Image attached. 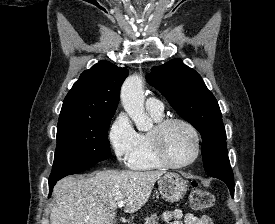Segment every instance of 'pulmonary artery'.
Wrapping results in <instances>:
<instances>
[{"mask_svg":"<svg viewBox=\"0 0 275 224\" xmlns=\"http://www.w3.org/2000/svg\"><path fill=\"white\" fill-rule=\"evenodd\" d=\"M146 109L151 112L161 113L163 112V104L159 99L149 97L146 100Z\"/></svg>","mask_w":275,"mask_h":224,"instance_id":"pulmonary-artery-1","label":"pulmonary artery"}]
</instances>
